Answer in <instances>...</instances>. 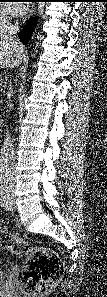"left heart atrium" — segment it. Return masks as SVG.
I'll list each match as a JSON object with an SVG mask.
<instances>
[{
    "instance_id": "39dd6f15",
    "label": "left heart atrium",
    "mask_w": 107,
    "mask_h": 297,
    "mask_svg": "<svg viewBox=\"0 0 107 297\" xmlns=\"http://www.w3.org/2000/svg\"><path fill=\"white\" fill-rule=\"evenodd\" d=\"M26 5L23 3H9L7 10L12 15H21L26 11Z\"/></svg>"
}]
</instances>
